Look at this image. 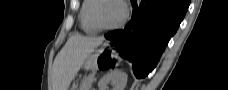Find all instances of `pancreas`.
<instances>
[{"instance_id":"1","label":"pancreas","mask_w":228,"mask_h":90,"mask_svg":"<svg viewBox=\"0 0 228 90\" xmlns=\"http://www.w3.org/2000/svg\"><path fill=\"white\" fill-rule=\"evenodd\" d=\"M93 82H94V75L91 74L85 78L84 82L81 85L80 90H91Z\"/></svg>"}]
</instances>
